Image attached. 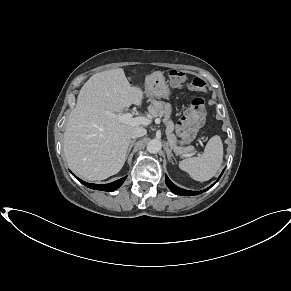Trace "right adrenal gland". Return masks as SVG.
<instances>
[{"label": "right adrenal gland", "instance_id": "right-adrenal-gland-1", "mask_svg": "<svg viewBox=\"0 0 291 291\" xmlns=\"http://www.w3.org/2000/svg\"><path fill=\"white\" fill-rule=\"evenodd\" d=\"M135 141H136V140H131V141H130V143H129V148H128L127 155H126V159H127L128 155H129V153H130V151H131V149H132V147H133Z\"/></svg>", "mask_w": 291, "mask_h": 291}]
</instances>
